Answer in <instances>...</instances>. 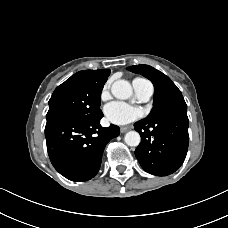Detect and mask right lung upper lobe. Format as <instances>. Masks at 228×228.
Segmentation results:
<instances>
[{"label": "right lung upper lobe", "mask_w": 228, "mask_h": 228, "mask_svg": "<svg viewBox=\"0 0 228 228\" xmlns=\"http://www.w3.org/2000/svg\"><path fill=\"white\" fill-rule=\"evenodd\" d=\"M108 69H101V70H83L79 71L73 75L75 78H80L87 81H92L99 79L103 74L107 73Z\"/></svg>", "instance_id": "1"}]
</instances>
